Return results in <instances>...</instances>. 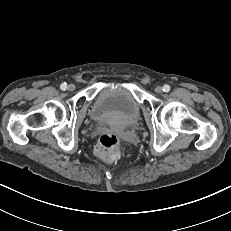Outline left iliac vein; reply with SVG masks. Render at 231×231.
Masks as SVG:
<instances>
[{
  "mask_svg": "<svg viewBox=\"0 0 231 231\" xmlns=\"http://www.w3.org/2000/svg\"><path fill=\"white\" fill-rule=\"evenodd\" d=\"M155 92L158 93V94H161L163 92V88L161 86H157L155 88Z\"/></svg>",
  "mask_w": 231,
  "mask_h": 231,
  "instance_id": "left-iliac-vein-1",
  "label": "left iliac vein"
}]
</instances>
